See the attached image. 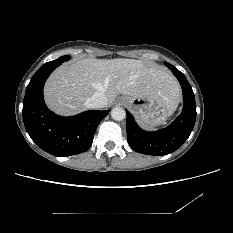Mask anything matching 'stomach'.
I'll return each instance as SVG.
<instances>
[{
    "instance_id": "stomach-1",
    "label": "stomach",
    "mask_w": 233,
    "mask_h": 233,
    "mask_svg": "<svg viewBox=\"0 0 233 233\" xmlns=\"http://www.w3.org/2000/svg\"><path fill=\"white\" fill-rule=\"evenodd\" d=\"M124 99L129 110L138 115L146 126L163 124L175 110V107L158 98L124 96Z\"/></svg>"
}]
</instances>
